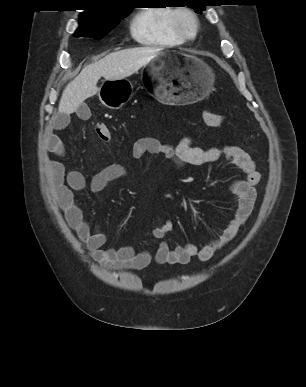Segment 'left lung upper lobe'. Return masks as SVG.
<instances>
[{
    "mask_svg": "<svg viewBox=\"0 0 306 387\" xmlns=\"http://www.w3.org/2000/svg\"><path fill=\"white\" fill-rule=\"evenodd\" d=\"M194 2V5H192L195 12L200 13L205 9L206 5L208 4V0H192Z\"/></svg>",
    "mask_w": 306,
    "mask_h": 387,
    "instance_id": "5c2ea615",
    "label": "left lung upper lobe"
}]
</instances>
